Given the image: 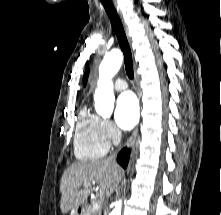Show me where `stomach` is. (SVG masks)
<instances>
[{
  "label": "stomach",
  "mask_w": 221,
  "mask_h": 215,
  "mask_svg": "<svg viewBox=\"0 0 221 215\" xmlns=\"http://www.w3.org/2000/svg\"><path fill=\"white\" fill-rule=\"evenodd\" d=\"M71 215H76L75 212H72Z\"/></svg>",
  "instance_id": "obj_1"
}]
</instances>
